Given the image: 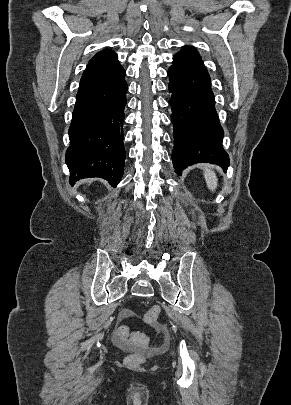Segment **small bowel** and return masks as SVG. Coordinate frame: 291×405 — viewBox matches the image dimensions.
Returning a JSON list of instances; mask_svg holds the SVG:
<instances>
[{"mask_svg": "<svg viewBox=\"0 0 291 405\" xmlns=\"http://www.w3.org/2000/svg\"><path fill=\"white\" fill-rule=\"evenodd\" d=\"M120 317H121L122 320L129 319V318L132 317V312L130 310H128V309H124L121 312Z\"/></svg>", "mask_w": 291, "mask_h": 405, "instance_id": "c3829d8e", "label": "small bowel"}]
</instances>
